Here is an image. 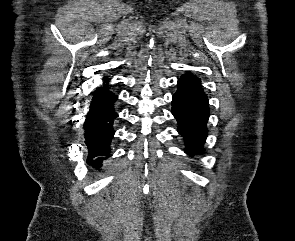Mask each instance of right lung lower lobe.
<instances>
[{
	"instance_id": "obj_1",
	"label": "right lung lower lobe",
	"mask_w": 295,
	"mask_h": 241,
	"mask_svg": "<svg viewBox=\"0 0 295 241\" xmlns=\"http://www.w3.org/2000/svg\"><path fill=\"white\" fill-rule=\"evenodd\" d=\"M116 100L117 96L107 85L97 88L85 119V144L89 152L87 164L95 168H99L102 161L110 156L113 122L118 117L114 111Z\"/></svg>"
}]
</instances>
